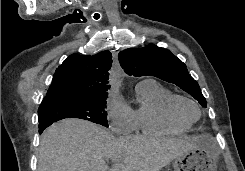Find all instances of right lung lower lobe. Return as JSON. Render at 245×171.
<instances>
[{"label": "right lung lower lobe", "mask_w": 245, "mask_h": 171, "mask_svg": "<svg viewBox=\"0 0 245 171\" xmlns=\"http://www.w3.org/2000/svg\"><path fill=\"white\" fill-rule=\"evenodd\" d=\"M53 122L47 121V122H41L39 123V133H42L45 128L50 126Z\"/></svg>", "instance_id": "obj_1"}]
</instances>
